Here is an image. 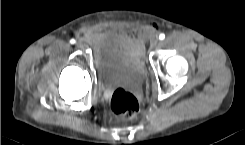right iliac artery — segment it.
<instances>
[{
    "label": "right iliac artery",
    "mask_w": 245,
    "mask_h": 145,
    "mask_svg": "<svg viewBox=\"0 0 245 145\" xmlns=\"http://www.w3.org/2000/svg\"><path fill=\"white\" fill-rule=\"evenodd\" d=\"M75 42H76V41H75L74 39H71V40H70V43H71V44H74Z\"/></svg>",
    "instance_id": "right-iliac-artery-1"
}]
</instances>
